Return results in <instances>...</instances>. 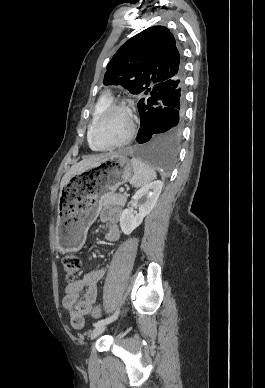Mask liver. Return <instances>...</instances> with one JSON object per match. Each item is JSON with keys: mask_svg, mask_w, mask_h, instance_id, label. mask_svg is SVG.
<instances>
[{"mask_svg": "<svg viewBox=\"0 0 265 388\" xmlns=\"http://www.w3.org/2000/svg\"><path fill=\"white\" fill-rule=\"evenodd\" d=\"M106 156H115V154H105V156H96V158H88V160H82L79 164H75V166H71L69 172L63 176L60 184V188H64L65 184L73 178V176H77V174H81V172H85L88 168H92L95 164H98L102 158H106Z\"/></svg>", "mask_w": 265, "mask_h": 388, "instance_id": "1", "label": "liver"}]
</instances>
